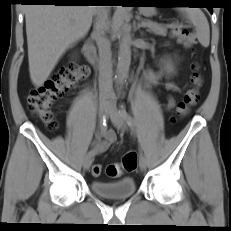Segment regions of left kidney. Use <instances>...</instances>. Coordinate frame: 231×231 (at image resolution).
I'll use <instances>...</instances> for the list:
<instances>
[{
	"label": "left kidney",
	"instance_id": "5707ae66",
	"mask_svg": "<svg viewBox=\"0 0 231 231\" xmlns=\"http://www.w3.org/2000/svg\"><path fill=\"white\" fill-rule=\"evenodd\" d=\"M166 68H167L169 71H172V68H171V64H170V63L167 64Z\"/></svg>",
	"mask_w": 231,
	"mask_h": 231
}]
</instances>
